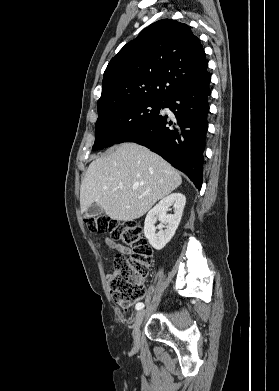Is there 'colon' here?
<instances>
[{
	"instance_id": "5ec220e1",
	"label": "colon",
	"mask_w": 279,
	"mask_h": 391,
	"mask_svg": "<svg viewBox=\"0 0 279 391\" xmlns=\"http://www.w3.org/2000/svg\"><path fill=\"white\" fill-rule=\"evenodd\" d=\"M85 223L90 231L109 233L113 240L132 249L129 257L116 255L108 280L114 302L124 309L130 308L145 296L143 280L151 265L152 248L146 241L142 226L137 221L121 222L103 215L88 216Z\"/></svg>"
}]
</instances>
